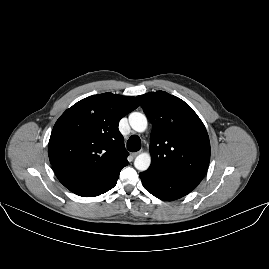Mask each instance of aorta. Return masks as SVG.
<instances>
[{"label": "aorta", "mask_w": 269, "mask_h": 269, "mask_svg": "<svg viewBox=\"0 0 269 269\" xmlns=\"http://www.w3.org/2000/svg\"><path fill=\"white\" fill-rule=\"evenodd\" d=\"M129 124L137 133H145L148 128V121L144 114L139 112L131 113L129 116ZM135 167L140 171H145L151 165V154L142 152L135 158Z\"/></svg>", "instance_id": "aorta-1"}]
</instances>
